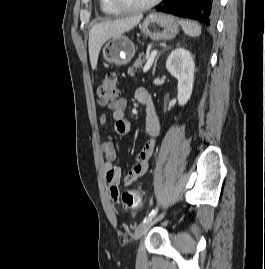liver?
<instances>
[{"label":"liver","mask_w":265,"mask_h":269,"mask_svg":"<svg viewBox=\"0 0 265 269\" xmlns=\"http://www.w3.org/2000/svg\"><path fill=\"white\" fill-rule=\"evenodd\" d=\"M143 18V15L104 21L95 24L89 32V57L92 69L97 67L98 56L103 44L134 28Z\"/></svg>","instance_id":"1"}]
</instances>
